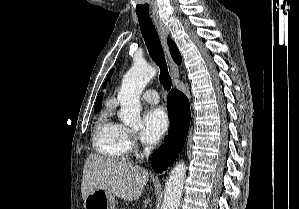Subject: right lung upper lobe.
<instances>
[{
    "mask_svg": "<svg viewBox=\"0 0 299 209\" xmlns=\"http://www.w3.org/2000/svg\"><path fill=\"white\" fill-rule=\"evenodd\" d=\"M168 45H169V49H170V53L172 55V58L174 59V61L177 64L181 63V55L175 45V43L173 41H171L170 39H168ZM101 104H102V94H100L97 98L96 104H95V112H98L101 108Z\"/></svg>",
    "mask_w": 299,
    "mask_h": 209,
    "instance_id": "right-lung-upper-lobe-1",
    "label": "right lung upper lobe"
}]
</instances>
